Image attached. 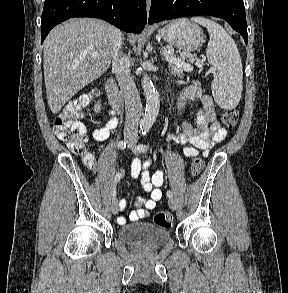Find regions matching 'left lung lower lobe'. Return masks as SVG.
I'll return each instance as SVG.
<instances>
[{"mask_svg":"<svg viewBox=\"0 0 288 293\" xmlns=\"http://www.w3.org/2000/svg\"><path fill=\"white\" fill-rule=\"evenodd\" d=\"M192 15H210L226 20L246 45L247 22L243 0H151L149 24Z\"/></svg>","mask_w":288,"mask_h":293,"instance_id":"obj_1","label":"left lung lower lobe"}]
</instances>
